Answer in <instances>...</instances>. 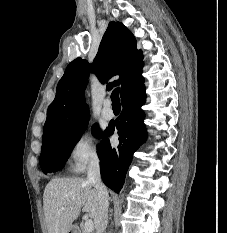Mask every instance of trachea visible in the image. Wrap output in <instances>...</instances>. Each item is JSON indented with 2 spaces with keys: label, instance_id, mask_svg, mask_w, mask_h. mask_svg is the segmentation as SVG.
Wrapping results in <instances>:
<instances>
[{
  "label": "trachea",
  "instance_id": "1",
  "mask_svg": "<svg viewBox=\"0 0 227 233\" xmlns=\"http://www.w3.org/2000/svg\"><path fill=\"white\" fill-rule=\"evenodd\" d=\"M111 100H112V105L117 106L120 105V99H119V88H116L112 91L111 93Z\"/></svg>",
  "mask_w": 227,
  "mask_h": 233
}]
</instances>
